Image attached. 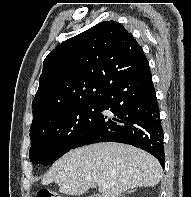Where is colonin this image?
<instances>
[{
    "label": "colon",
    "instance_id": "5ec220e1",
    "mask_svg": "<svg viewBox=\"0 0 191 197\" xmlns=\"http://www.w3.org/2000/svg\"><path fill=\"white\" fill-rule=\"evenodd\" d=\"M36 197H64V196L46 189H42L38 191Z\"/></svg>",
    "mask_w": 191,
    "mask_h": 197
}]
</instances>
